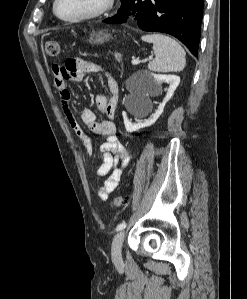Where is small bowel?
<instances>
[{"mask_svg":"<svg viewBox=\"0 0 247 299\" xmlns=\"http://www.w3.org/2000/svg\"><path fill=\"white\" fill-rule=\"evenodd\" d=\"M52 73L63 113L71 127L83 140L84 151L88 156L93 152V142L81 128L71 109V93L66 86V81L80 82L84 79L86 73H103L107 77L108 94H100L96 97L97 112L89 108H85L81 112V120L84 125L91 132L105 137V141L100 146L102 163L98 167L97 174L101 177L107 176V178L98 188L97 195L101 200H106L117 188L123 169L130 161L125 147L116 135L113 122L118 104L117 83L102 65L89 60L68 59L63 65L53 64ZM98 114L105 118L99 121Z\"/></svg>","mask_w":247,"mask_h":299,"instance_id":"small-bowel-1","label":"small bowel"}]
</instances>
